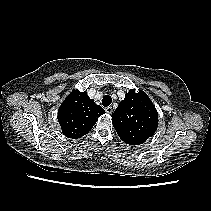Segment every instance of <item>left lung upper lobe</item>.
Masks as SVG:
<instances>
[{
    "label": "left lung upper lobe",
    "mask_w": 211,
    "mask_h": 211,
    "mask_svg": "<svg viewBox=\"0 0 211 211\" xmlns=\"http://www.w3.org/2000/svg\"><path fill=\"white\" fill-rule=\"evenodd\" d=\"M119 137L129 145L143 144L158 126V113L144 91L130 90L112 114Z\"/></svg>",
    "instance_id": "5c2ea615"
}]
</instances>
